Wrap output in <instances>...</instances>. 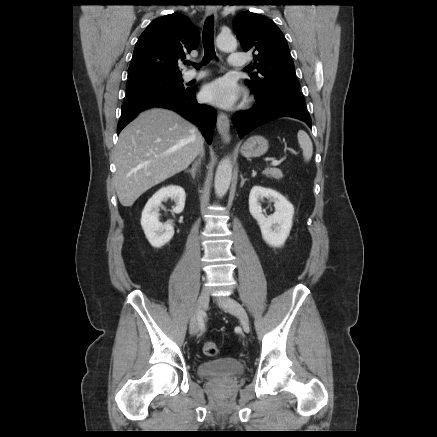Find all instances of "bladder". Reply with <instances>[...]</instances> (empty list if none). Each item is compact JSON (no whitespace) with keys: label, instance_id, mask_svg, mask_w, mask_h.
Wrapping results in <instances>:
<instances>
[{"label":"bladder","instance_id":"bladder-1","mask_svg":"<svg viewBox=\"0 0 437 437\" xmlns=\"http://www.w3.org/2000/svg\"><path fill=\"white\" fill-rule=\"evenodd\" d=\"M244 370L243 362L232 357L205 361L197 367L198 375L203 378L234 377L243 374Z\"/></svg>","mask_w":437,"mask_h":437}]
</instances>
